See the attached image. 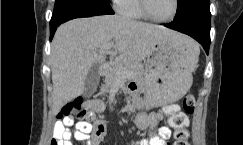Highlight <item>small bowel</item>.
<instances>
[{
  "mask_svg": "<svg viewBox=\"0 0 243 145\" xmlns=\"http://www.w3.org/2000/svg\"><path fill=\"white\" fill-rule=\"evenodd\" d=\"M135 91V88H132ZM91 109L89 121L94 120V124L89 122H77L74 124L72 118H64L56 122L53 130V137L60 141L59 145H73L72 138L78 141H86L88 145H100L106 135L105 124L100 120H95V112H102L104 104L99 100H92L86 103ZM163 119L160 113L139 112L135 118V124L140 130H149L148 138L131 142L129 145H167L170 138V130L162 127L158 132L153 128ZM74 125L75 131L70 128Z\"/></svg>",
  "mask_w": 243,
  "mask_h": 145,
  "instance_id": "obj_1",
  "label": "small bowel"
}]
</instances>
